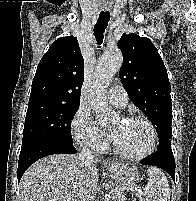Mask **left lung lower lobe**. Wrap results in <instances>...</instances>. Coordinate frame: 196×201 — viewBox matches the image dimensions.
<instances>
[{"label": "left lung lower lobe", "instance_id": "0a47b994", "mask_svg": "<svg viewBox=\"0 0 196 201\" xmlns=\"http://www.w3.org/2000/svg\"><path fill=\"white\" fill-rule=\"evenodd\" d=\"M141 163L165 170L175 181V159L171 149V140L159 142L156 153L144 158Z\"/></svg>", "mask_w": 196, "mask_h": 201}]
</instances>
